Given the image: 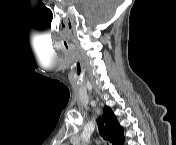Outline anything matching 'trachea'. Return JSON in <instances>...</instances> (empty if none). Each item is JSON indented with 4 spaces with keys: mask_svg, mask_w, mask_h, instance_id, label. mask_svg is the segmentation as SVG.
Returning a JSON list of instances; mask_svg holds the SVG:
<instances>
[{
    "mask_svg": "<svg viewBox=\"0 0 176 145\" xmlns=\"http://www.w3.org/2000/svg\"><path fill=\"white\" fill-rule=\"evenodd\" d=\"M97 124H98V129H99L100 135L102 137H104V132H105L104 123L101 120H97Z\"/></svg>",
    "mask_w": 176,
    "mask_h": 145,
    "instance_id": "trachea-1",
    "label": "trachea"
}]
</instances>
